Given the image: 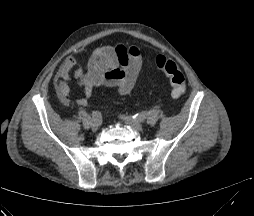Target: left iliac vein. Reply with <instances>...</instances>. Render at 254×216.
Masks as SVG:
<instances>
[{"label":"left iliac vein","mask_w":254,"mask_h":216,"mask_svg":"<svg viewBox=\"0 0 254 216\" xmlns=\"http://www.w3.org/2000/svg\"><path fill=\"white\" fill-rule=\"evenodd\" d=\"M124 121L126 124L130 125L132 128H134L136 130H142V128H143V125L140 122L135 121V120L131 119L130 117H125Z\"/></svg>","instance_id":"4c4485c4"}]
</instances>
